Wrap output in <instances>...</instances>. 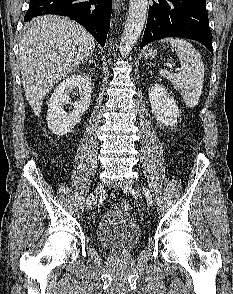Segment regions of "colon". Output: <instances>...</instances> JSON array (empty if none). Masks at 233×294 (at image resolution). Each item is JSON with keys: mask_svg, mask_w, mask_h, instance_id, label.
<instances>
[{"mask_svg": "<svg viewBox=\"0 0 233 294\" xmlns=\"http://www.w3.org/2000/svg\"><path fill=\"white\" fill-rule=\"evenodd\" d=\"M116 208L121 211H128L131 208V203L129 201H121L116 205Z\"/></svg>", "mask_w": 233, "mask_h": 294, "instance_id": "5ec220e1", "label": "colon"}]
</instances>
